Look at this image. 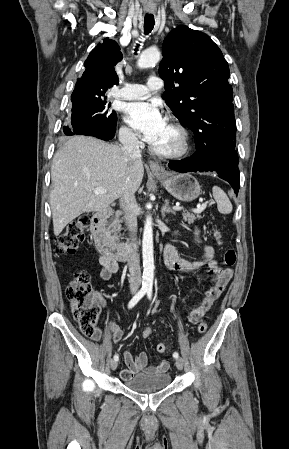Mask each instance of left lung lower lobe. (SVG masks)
Wrapping results in <instances>:
<instances>
[{
  "label": "left lung lower lobe",
  "instance_id": "left-lung-lower-lobe-1",
  "mask_svg": "<svg viewBox=\"0 0 289 449\" xmlns=\"http://www.w3.org/2000/svg\"><path fill=\"white\" fill-rule=\"evenodd\" d=\"M212 155L201 156L197 151L191 157L171 161L168 166L178 172H215L218 177L228 181L235 193L240 187L238 156L235 145L225 137L219 138L211 147Z\"/></svg>",
  "mask_w": 289,
  "mask_h": 449
}]
</instances>
